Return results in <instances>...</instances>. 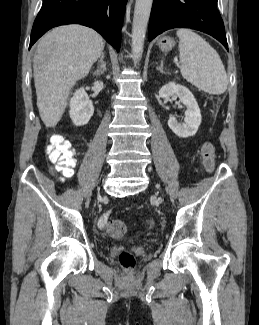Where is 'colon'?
<instances>
[{
	"label": "colon",
	"instance_id": "5ec220e1",
	"mask_svg": "<svg viewBox=\"0 0 259 325\" xmlns=\"http://www.w3.org/2000/svg\"><path fill=\"white\" fill-rule=\"evenodd\" d=\"M47 154L63 177L68 178L73 175V169L77 164L76 151L67 140L59 135L52 136L47 148ZM201 156L205 168L212 170L215 163V148L211 143L203 145ZM104 229L112 238H121L126 233L125 223L118 219L108 218ZM119 262L125 269H132L135 265V258L130 252L122 251L119 255Z\"/></svg>",
	"mask_w": 259,
	"mask_h": 325
}]
</instances>
